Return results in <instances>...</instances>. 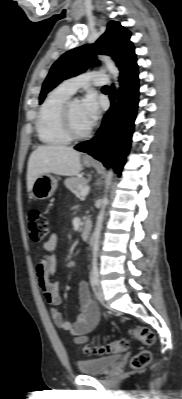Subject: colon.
<instances>
[{"instance_id":"obj_1","label":"colon","mask_w":182,"mask_h":399,"mask_svg":"<svg viewBox=\"0 0 182 399\" xmlns=\"http://www.w3.org/2000/svg\"><path fill=\"white\" fill-rule=\"evenodd\" d=\"M28 225L30 237L33 241L40 242L45 240L50 230L48 217L40 210L33 209L28 214ZM133 337L146 345H152L155 341L153 332L146 327H136L131 329ZM129 343L126 339H118L104 345L83 347L86 353L98 355L116 354L127 350ZM151 361V353L148 350H141L135 354L130 362L133 369H141Z\"/></svg>"}]
</instances>
